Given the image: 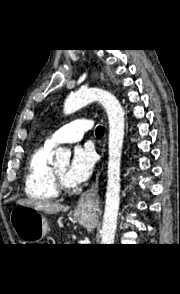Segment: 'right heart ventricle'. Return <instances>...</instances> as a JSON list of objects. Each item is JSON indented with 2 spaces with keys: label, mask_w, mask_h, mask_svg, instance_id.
I'll use <instances>...</instances> for the list:
<instances>
[{
  "label": "right heart ventricle",
  "mask_w": 180,
  "mask_h": 294,
  "mask_svg": "<svg viewBox=\"0 0 180 294\" xmlns=\"http://www.w3.org/2000/svg\"><path fill=\"white\" fill-rule=\"evenodd\" d=\"M52 150L53 147L45 143L33 152L28 161L25 193L31 198L51 201L58 197L54 186L53 167L49 163Z\"/></svg>",
  "instance_id": "e07e8e85"
}]
</instances>
